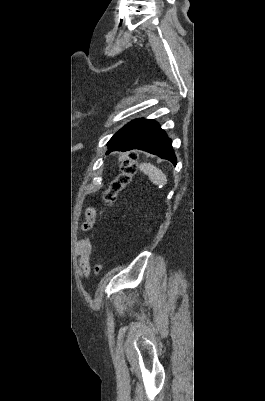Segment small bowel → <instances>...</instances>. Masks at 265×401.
Instances as JSON below:
<instances>
[{
  "label": "small bowel",
  "instance_id": "obj_1",
  "mask_svg": "<svg viewBox=\"0 0 265 401\" xmlns=\"http://www.w3.org/2000/svg\"><path fill=\"white\" fill-rule=\"evenodd\" d=\"M96 211L93 207H88L85 212V222L82 225L83 230H88L95 222ZM79 261L81 271L84 275L90 272V261L92 255V246L88 239L82 240L78 246Z\"/></svg>",
  "mask_w": 265,
  "mask_h": 401
}]
</instances>
